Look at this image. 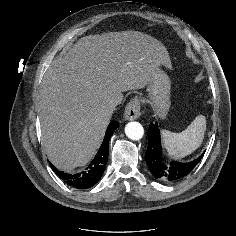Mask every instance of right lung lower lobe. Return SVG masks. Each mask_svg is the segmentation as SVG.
Listing matches in <instances>:
<instances>
[{"mask_svg":"<svg viewBox=\"0 0 236 236\" xmlns=\"http://www.w3.org/2000/svg\"><path fill=\"white\" fill-rule=\"evenodd\" d=\"M118 122H111L107 128L103 143L97 152L93 161L82 172L77 174H68L59 171L55 166L51 165L53 171L68 185L77 189H86L96 184L104 171L105 165L108 160V146L109 140L115 129L118 127Z\"/></svg>","mask_w":236,"mask_h":236,"instance_id":"obj_1","label":"right lung lower lobe"}]
</instances>
